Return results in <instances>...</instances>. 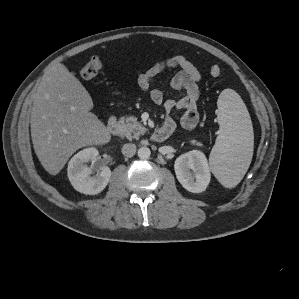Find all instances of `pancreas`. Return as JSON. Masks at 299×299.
<instances>
[{
  "mask_svg": "<svg viewBox=\"0 0 299 299\" xmlns=\"http://www.w3.org/2000/svg\"><path fill=\"white\" fill-rule=\"evenodd\" d=\"M119 123L122 125L124 134L128 139H137L147 131L135 116L121 117ZM190 143L192 145L203 146L201 142L196 140H191Z\"/></svg>",
  "mask_w": 299,
  "mask_h": 299,
  "instance_id": "obj_1",
  "label": "pancreas"
}]
</instances>
